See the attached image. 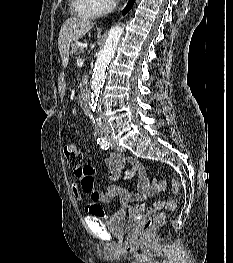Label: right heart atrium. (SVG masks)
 Wrapping results in <instances>:
<instances>
[{"label":"right heart atrium","instance_id":"obj_1","mask_svg":"<svg viewBox=\"0 0 233 263\" xmlns=\"http://www.w3.org/2000/svg\"><path fill=\"white\" fill-rule=\"evenodd\" d=\"M90 1L92 2L94 9L98 13L108 12L115 5V0H90Z\"/></svg>","mask_w":233,"mask_h":263}]
</instances>
